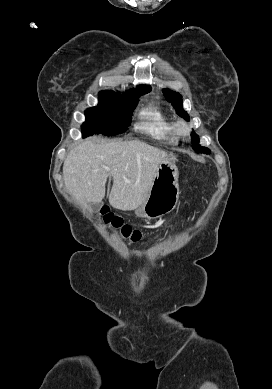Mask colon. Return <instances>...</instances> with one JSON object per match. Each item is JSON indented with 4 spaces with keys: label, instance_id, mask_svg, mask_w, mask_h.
<instances>
[{
    "label": "colon",
    "instance_id": "1",
    "mask_svg": "<svg viewBox=\"0 0 272 389\" xmlns=\"http://www.w3.org/2000/svg\"><path fill=\"white\" fill-rule=\"evenodd\" d=\"M101 214L103 222L114 230H117L121 238L130 242H137L141 239L142 233L129 225H125L121 218L108 212L106 209H103Z\"/></svg>",
    "mask_w": 272,
    "mask_h": 389
}]
</instances>
